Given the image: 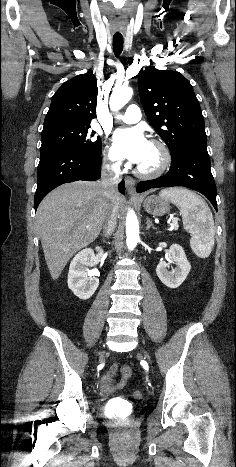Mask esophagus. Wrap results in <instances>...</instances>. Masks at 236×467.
I'll return each mask as SVG.
<instances>
[{
    "instance_id": "obj_1",
    "label": "esophagus",
    "mask_w": 236,
    "mask_h": 467,
    "mask_svg": "<svg viewBox=\"0 0 236 467\" xmlns=\"http://www.w3.org/2000/svg\"><path fill=\"white\" fill-rule=\"evenodd\" d=\"M125 185L128 193L135 194V180L131 177L125 178Z\"/></svg>"
}]
</instances>
